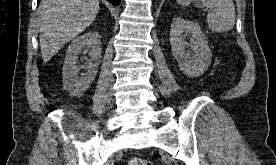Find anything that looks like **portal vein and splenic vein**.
I'll return each mask as SVG.
<instances>
[{
  "instance_id": "1",
  "label": "portal vein and splenic vein",
  "mask_w": 276,
  "mask_h": 165,
  "mask_svg": "<svg viewBox=\"0 0 276 165\" xmlns=\"http://www.w3.org/2000/svg\"><path fill=\"white\" fill-rule=\"evenodd\" d=\"M204 11H207V12H208V10H207V9H204Z\"/></svg>"
}]
</instances>
